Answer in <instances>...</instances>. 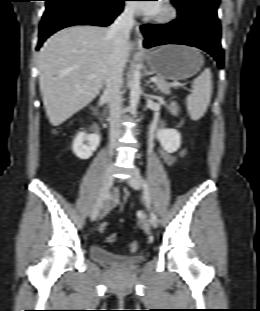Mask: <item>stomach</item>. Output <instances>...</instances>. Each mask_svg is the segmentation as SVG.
Instances as JSON below:
<instances>
[{
  "label": "stomach",
  "mask_w": 260,
  "mask_h": 311,
  "mask_svg": "<svg viewBox=\"0 0 260 311\" xmlns=\"http://www.w3.org/2000/svg\"><path fill=\"white\" fill-rule=\"evenodd\" d=\"M146 59L150 70L168 80L187 79L200 71L204 58L200 52L185 45H165L149 51Z\"/></svg>",
  "instance_id": "obj_1"
}]
</instances>
